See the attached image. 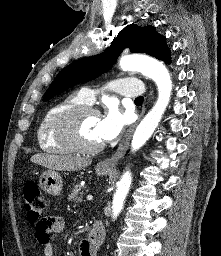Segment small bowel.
<instances>
[{
	"label": "small bowel",
	"mask_w": 221,
	"mask_h": 256,
	"mask_svg": "<svg viewBox=\"0 0 221 256\" xmlns=\"http://www.w3.org/2000/svg\"><path fill=\"white\" fill-rule=\"evenodd\" d=\"M64 228V219L62 217H49L44 219L41 227L36 226L35 236L38 243L43 247L44 256H53V245L51 235L59 233ZM80 256H97V248L93 247L87 238L80 244Z\"/></svg>",
	"instance_id": "small-bowel-1"
}]
</instances>
